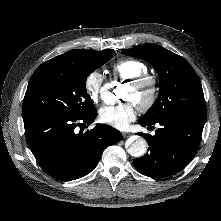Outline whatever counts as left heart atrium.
<instances>
[{"label":"left heart atrium","mask_w":221,"mask_h":221,"mask_svg":"<svg viewBox=\"0 0 221 221\" xmlns=\"http://www.w3.org/2000/svg\"><path fill=\"white\" fill-rule=\"evenodd\" d=\"M99 120L117 129H125L136 117V106L132 101L104 106L99 110Z\"/></svg>","instance_id":"39dd6f15"}]
</instances>
